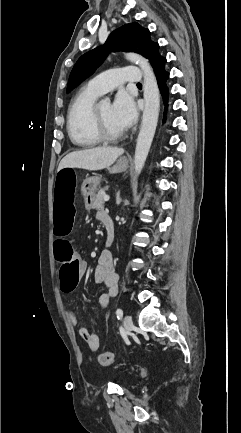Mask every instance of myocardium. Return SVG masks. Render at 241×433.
<instances>
[{
	"label": "myocardium",
	"instance_id": "myocardium-1",
	"mask_svg": "<svg viewBox=\"0 0 241 433\" xmlns=\"http://www.w3.org/2000/svg\"><path fill=\"white\" fill-rule=\"evenodd\" d=\"M99 105H95L92 112V122L93 128L96 135L99 137L101 141L104 142H114L121 139L124 136V133L113 134L110 133L104 126L101 116L98 110Z\"/></svg>",
	"mask_w": 241,
	"mask_h": 433
}]
</instances>
